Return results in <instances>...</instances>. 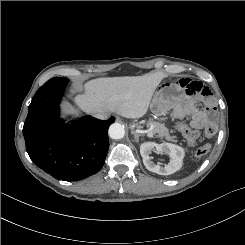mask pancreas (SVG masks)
Instances as JSON below:
<instances>
[{"label": "pancreas", "mask_w": 245, "mask_h": 245, "mask_svg": "<svg viewBox=\"0 0 245 245\" xmlns=\"http://www.w3.org/2000/svg\"><path fill=\"white\" fill-rule=\"evenodd\" d=\"M151 131L156 137L165 138L167 141L177 142L175 136H171L163 123L150 121Z\"/></svg>", "instance_id": "cf45deb5"}]
</instances>
